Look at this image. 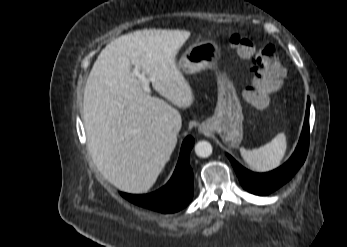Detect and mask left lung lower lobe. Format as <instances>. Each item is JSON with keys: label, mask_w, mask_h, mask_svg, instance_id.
Instances as JSON below:
<instances>
[{"label": "left lung lower lobe", "mask_w": 347, "mask_h": 247, "mask_svg": "<svg viewBox=\"0 0 347 247\" xmlns=\"http://www.w3.org/2000/svg\"><path fill=\"white\" fill-rule=\"evenodd\" d=\"M309 110L308 98L306 116L298 145L290 159L281 167L268 173H253L242 167L227 154L244 189L256 195H268L288 182L304 163L309 146Z\"/></svg>", "instance_id": "left-lung-lower-lobe-1"}]
</instances>
